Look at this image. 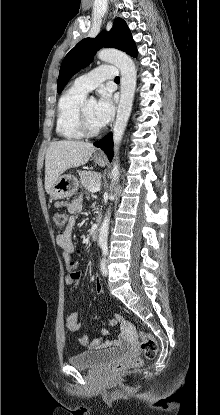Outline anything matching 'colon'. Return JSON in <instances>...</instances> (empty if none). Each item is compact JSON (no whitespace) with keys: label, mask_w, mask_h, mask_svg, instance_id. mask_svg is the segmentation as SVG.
<instances>
[{"label":"colon","mask_w":220,"mask_h":415,"mask_svg":"<svg viewBox=\"0 0 220 415\" xmlns=\"http://www.w3.org/2000/svg\"><path fill=\"white\" fill-rule=\"evenodd\" d=\"M58 205L63 208L66 207L64 202H59ZM68 221L69 217L66 213L58 212L53 215L54 227L58 232H63L66 229ZM70 265L75 266L76 262L74 260H70ZM71 276L72 279L79 280L80 273L78 271H74ZM140 341L141 351L144 354V356L148 359L153 358L158 351V344L155 338L149 333L141 332ZM142 362V359L139 357L126 359L118 365V370L138 369L142 366Z\"/></svg>","instance_id":"1"}]
</instances>
